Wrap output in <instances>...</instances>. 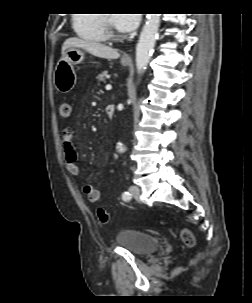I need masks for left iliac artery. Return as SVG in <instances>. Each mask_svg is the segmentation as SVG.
I'll use <instances>...</instances> for the list:
<instances>
[{
    "mask_svg": "<svg viewBox=\"0 0 252 303\" xmlns=\"http://www.w3.org/2000/svg\"><path fill=\"white\" fill-rule=\"evenodd\" d=\"M130 198H131V195H130L129 192H124V193L122 194V199H123V200H129Z\"/></svg>",
    "mask_w": 252,
    "mask_h": 303,
    "instance_id": "obj_1",
    "label": "left iliac artery"
}]
</instances>
